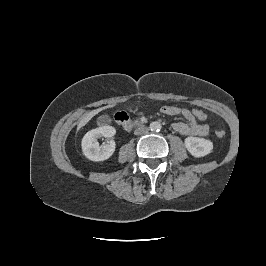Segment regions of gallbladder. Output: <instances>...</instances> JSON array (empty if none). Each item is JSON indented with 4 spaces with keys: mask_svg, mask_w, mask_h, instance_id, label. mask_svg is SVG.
Here are the masks:
<instances>
[{
    "mask_svg": "<svg viewBox=\"0 0 266 266\" xmlns=\"http://www.w3.org/2000/svg\"><path fill=\"white\" fill-rule=\"evenodd\" d=\"M111 119L108 115H103V116H100L99 119H98V122L99 123H102V124H107V123H110Z\"/></svg>",
    "mask_w": 266,
    "mask_h": 266,
    "instance_id": "1",
    "label": "gallbladder"
}]
</instances>
